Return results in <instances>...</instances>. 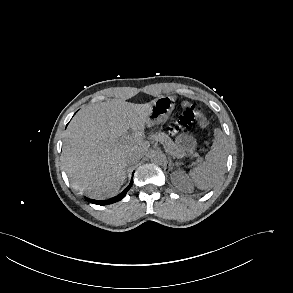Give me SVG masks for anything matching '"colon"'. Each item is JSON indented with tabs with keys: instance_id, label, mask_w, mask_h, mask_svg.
<instances>
[{
	"instance_id": "1",
	"label": "colon",
	"mask_w": 293,
	"mask_h": 293,
	"mask_svg": "<svg viewBox=\"0 0 293 293\" xmlns=\"http://www.w3.org/2000/svg\"><path fill=\"white\" fill-rule=\"evenodd\" d=\"M182 106L185 109L183 114L170 125V130L172 132H178L180 129L189 125L194 119L198 120V123L202 128L208 126L206 117L200 112L196 105L183 103Z\"/></svg>"
}]
</instances>
